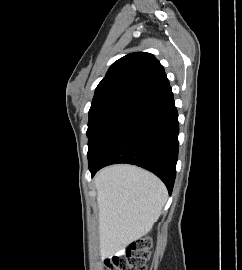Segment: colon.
Wrapping results in <instances>:
<instances>
[{
	"label": "colon",
	"instance_id": "obj_1",
	"mask_svg": "<svg viewBox=\"0 0 242 270\" xmlns=\"http://www.w3.org/2000/svg\"><path fill=\"white\" fill-rule=\"evenodd\" d=\"M152 244L147 237L132 242L122 254L105 262V270H147Z\"/></svg>",
	"mask_w": 242,
	"mask_h": 270
}]
</instances>
